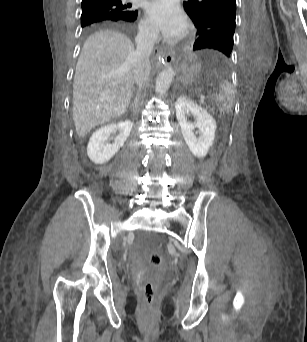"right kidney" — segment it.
Listing matches in <instances>:
<instances>
[{
    "instance_id": "1",
    "label": "right kidney",
    "mask_w": 307,
    "mask_h": 342,
    "mask_svg": "<svg viewBox=\"0 0 307 342\" xmlns=\"http://www.w3.org/2000/svg\"><path fill=\"white\" fill-rule=\"evenodd\" d=\"M132 128V122L125 120V122L108 124V126H103V128L96 130L92 134L87 146L89 160L94 162V164H106V162H109L125 144ZM116 130H120V134L115 138L113 144H107L110 134H113Z\"/></svg>"
}]
</instances>
